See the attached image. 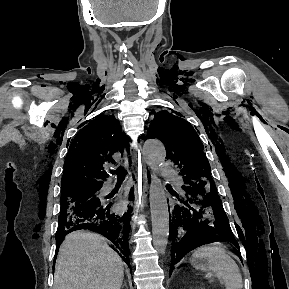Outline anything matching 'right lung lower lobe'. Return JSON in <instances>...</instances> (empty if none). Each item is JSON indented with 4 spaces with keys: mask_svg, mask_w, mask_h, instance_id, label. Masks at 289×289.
<instances>
[{
    "mask_svg": "<svg viewBox=\"0 0 289 289\" xmlns=\"http://www.w3.org/2000/svg\"><path fill=\"white\" fill-rule=\"evenodd\" d=\"M111 205V203L106 204L100 201L60 221L56 233L57 250L68 233L81 229L92 230L107 237L115 245L114 250L130 266L128 245L130 231L129 212L124 216H119L113 212Z\"/></svg>",
    "mask_w": 289,
    "mask_h": 289,
    "instance_id": "1",
    "label": "right lung lower lobe"
}]
</instances>
